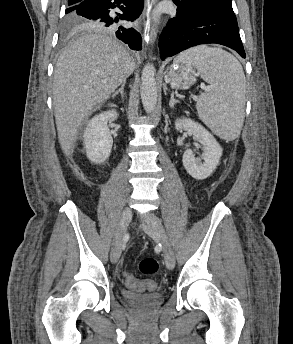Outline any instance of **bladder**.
Here are the masks:
<instances>
[{"mask_svg":"<svg viewBox=\"0 0 293 344\" xmlns=\"http://www.w3.org/2000/svg\"><path fill=\"white\" fill-rule=\"evenodd\" d=\"M121 294L127 301L142 303L146 305L156 304L162 299V294L160 293L138 294L130 290H122Z\"/></svg>","mask_w":293,"mask_h":344,"instance_id":"bladder-1","label":"bladder"}]
</instances>
